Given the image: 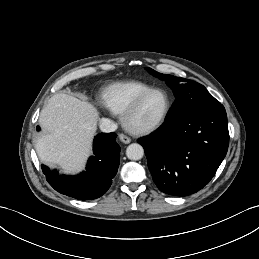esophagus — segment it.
Instances as JSON below:
<instances>
[{
    "label": "esophagus",
    "mask_w": 259,
    "mask_h": 259,
    "mask_svg": "<svg viewBox=\"0 0 259 259\" xmlns=\"http://www.w3.org/2000/svg\"><path fill=\"white\" fill-rule=\"evenodd\" d=\"M119 139L121 142H123L124 144H129L131 142V138L126 136L125 134H120L119 135Z\"/></svg>",
    "instance_id": "obj_1"
}]
</instances>
